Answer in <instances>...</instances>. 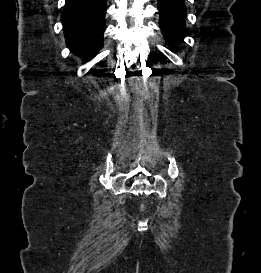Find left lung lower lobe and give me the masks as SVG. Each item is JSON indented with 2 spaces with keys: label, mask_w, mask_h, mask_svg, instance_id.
Returning a JSON list of instances; mask_svg holds the SVG:
<instances>
[{
  "label": "left lung lower lobe",
  "mask_w": 261,
  "mask_h": 273,
  "mask_svg": "<svg viewBox=\"0 0 261 273\" xmlns=\"http://www.w3.org/2000/svg\"><path fill=\"white\" fill-rule=\"evenodd\" d=\"M159 25L161 32L170 45L177 44L185 26L186 6L184 0H158Z\"/></svg>",
  "instance_id": "left-lung-lower-lobe-1"
}]
</instances>
